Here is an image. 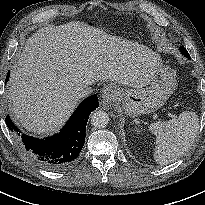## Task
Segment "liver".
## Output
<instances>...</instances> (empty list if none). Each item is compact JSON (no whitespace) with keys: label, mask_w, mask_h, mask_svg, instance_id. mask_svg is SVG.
I'll use <instances>...</instances> for the list:
<instances>
[{"label":"liver","mask_w":205,"mask_h":205,"mask_svg":"<svg viewBox=\"0 0 205 205\" xmlns=\"http://www.w3.org/2000/svg\"><path fill=\"white\" fill-rule=\"evenodd\" d=\"M159 61L149 50L84 22L41 28L29 37L12 67L7 88L11 113L28 131L55 132L78 105L76 87L113 81L142 88Z\"/></svg>","instance_id":"liver-1"}]
</instances>
